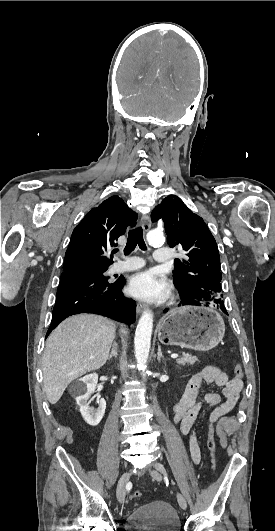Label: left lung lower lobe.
<instances>
[{"label":"left lung lower lobe","mask_w":275,"mask_h":531,"mask_svg":"<svg viewBox=\"0 0 275 531\" xmlns=\"http://www.w3.org/2000/svg\"><path fill=\"white\" fill-rule=\"evenodd\" d=\"M167 310H165L164 312H166ZM224 313L228 314L227 311H225Z\"/></svg>","instance_id":"0a47b994"}]
</instances>
